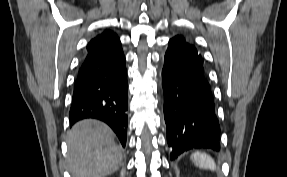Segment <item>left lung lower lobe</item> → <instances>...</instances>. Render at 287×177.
<instances>
[{"label":"left lung lower lobe","mask_w":287,"mask_h":177,"mask_svg":"<svg viewBox=\"0 0 287 177\" xmlns=\"http://www.w3.org/2000/svg\"><path fill=\"white\" fill-rule=\"evenodd\" d=\"M162 86L171 160L192 148L218 151L220 128L203 62L174 39L165 54Z\"/></svg>","instance_id":"1"}]
</instances>
